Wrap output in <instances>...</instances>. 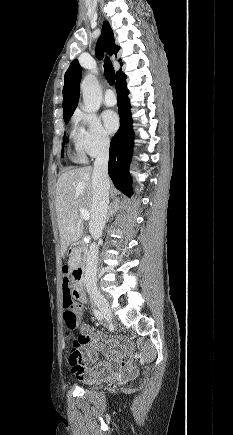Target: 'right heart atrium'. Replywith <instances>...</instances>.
<instances>
[{"label":"right heart atrium","mask_w":233,"mask_h":435,"mask_svg":"<svg viewBox=\"0 0 233 435\" xmlns=\"http://www.w3.org/2000/svg\"><path fill=\"white\" fill-rule=\"evenodd\" d=\"M74 120L82 132L80 150L83 153L90 157H96L107 152L110 146V137L94 114L78 111Z\"/></svg>","instance_id":"d8ad5b80"}]
</instances>
